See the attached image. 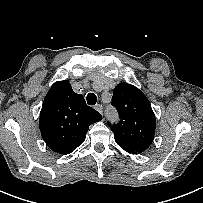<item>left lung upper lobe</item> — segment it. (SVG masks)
<instances>
[{"label":"left lung upper lobe","mask_w":203,"mask_h":203,"mask_svg":"<svg viewBox=\"0 0 203 203\" xmlns=\"http://www.w3.org/2000/svg\"><path fill=\"white\" fill-rule=\"evenodd\" d=\"M112 104L119 112L118 124L111 126L115 141L128 153H141L154 140L156 118L144 93L128 83H119Z\"/></svg>","instance_id":"1"}]
</instances>
